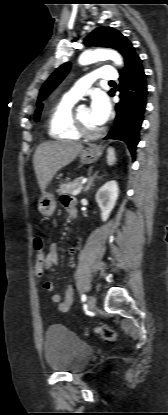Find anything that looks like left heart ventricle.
<instances>
[{
    "label": "left heart ventricle",
    "instance_id": "b2bd125f",
    "mask_svg": "<svg viewBox=\"0 0 168 415\" xmlns=\"http://www.w3.org/2000/svg\"><path fill=\"white\" fill-rule=\"evenodd\" d=\"M77 114L79 118L82 120V122L91 130H97L99 129V126L96 125L90 115V109L88 107H82L77 111Z\"/></svg>",
    "mask_w": 168,
    "mask_h": 415
}]
</instances>
